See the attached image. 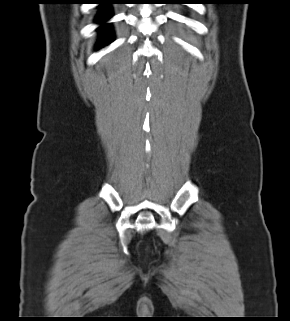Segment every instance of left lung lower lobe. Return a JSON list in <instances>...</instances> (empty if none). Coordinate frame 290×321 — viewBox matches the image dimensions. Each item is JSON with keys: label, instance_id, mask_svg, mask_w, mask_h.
<instances>
[{"label": "left lung lower lobe", "instance_id": "obj_1", "mask_svg": "<svg viewBox=\"0 0 290 321\" xmlns=\"http://www.w3.org/2000/svg\"><path fill=\"white\" fill-rule=\"evenodd\" d=\"M180 3H197V0H184L180 1Z\"/></svg>", "mask_w": 290, "mask_h": 321}]
</instances>
